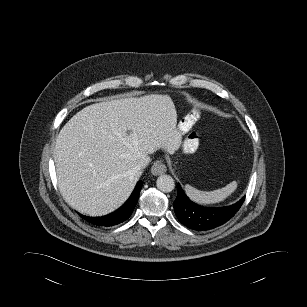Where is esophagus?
Listing matches in <instances>:
<instances>
[{
    "label": "esophagus",
    "instance_id": "esophagus-1",
    "mask_svg": "<svg viewBox=\"0 0 307 307\" xmlns=\"http://www.w3.org/2000/svg\"><path fill=\"white\" fill-rule=\"evenodd\" d=\"M167 168L163 161L157 160L151 167V173L155 176L164 174Z\"/></svg>",
    "mask_w": 307,
    "mask_h": 307
}]
</instances>
